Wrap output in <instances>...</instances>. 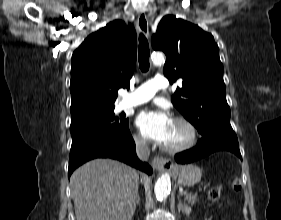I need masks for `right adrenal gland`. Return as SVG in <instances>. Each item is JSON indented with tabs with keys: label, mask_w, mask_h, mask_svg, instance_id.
Here are the masks:
<instances>
[{
	"label": "right adrenal gland",
	"mask_w": 281,
	"mask_h": 220,
	"mask_svg": "<svg viewBox=\"0 0 281 220\" xmlns=\"http://www.w3.org/2000/svg\"><path fill=\"white\" fill-rule=\"evenodd\" d=\"M137 205H140V197H139V195H137V198H136L135 209H136Z\"/></svg>",
	"instance_id": "1"
}]
</instances>
